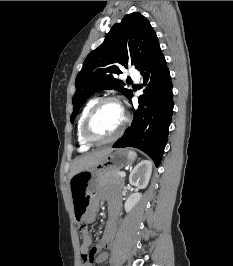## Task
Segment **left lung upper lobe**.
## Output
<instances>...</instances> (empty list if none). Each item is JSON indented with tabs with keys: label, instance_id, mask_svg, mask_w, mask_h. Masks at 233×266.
Wrapping results in <instances>:
<instances>
[{
	"label": "left lung upper lobe",
	"instance_id": "left-lung-upper-lobe-1",
	"mask_svg": "<svg viewBox=\"0 0 233 266\" xmlns=\"http://www.w3.org/2000/svg\"><path fill=\"white\" fill-rule=\"evenodd\" d=\"M157 45L155 31L140 13L127 14L121 23L113 25L104 42L88 54L76 77L71 122L86 99L98 91L115 89L129 99L132 91L124 88L125 83L117 79L120 68L132 64L139 70Z\"/></svg>",
	"mask_w": 233,
	"mask_h": 266
}]
</instances>
